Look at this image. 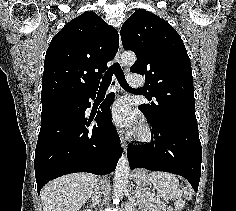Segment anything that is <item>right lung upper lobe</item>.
<instances>
[{
    "label": "right lung upper lobe",
    "instance_id": "obj_1",
    "mask_svg": "<svg viewBox=\"0 0 236 211\" xmlns=\"http://www.w3.org/2000/svg\"><path fill=\"white\" fill-rule=\"evenodd\" d=\"M118 32L94 12L67 23L47 49L42 78V105L96 93L99 79L113 59Z\"/></svg>",
    "mask_w": 236,
    "mask_h": 211
}]
</instances>
